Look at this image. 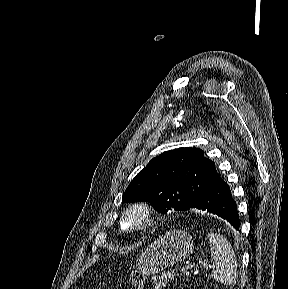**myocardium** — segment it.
<instances>
[{
    "label": "myocardium",
    "mask_w": 288,
    "mask_h": 289,
    "mask_svg": "<svg viewBox=\"0 0 288 289\" xmlns=\"http://www.w3.org/2000/svg\"><path fill=\"white\" fill-rule=\"evenodd\" d=\"M134 218V223L128 227L125 222L128 218ZM155 220V209L147 201H135L130 203L121 213L119 228L124 233L134 234L148 229Z\"/></svg>",
    "instance_id": "1"
}]
</instances>
